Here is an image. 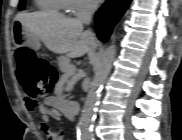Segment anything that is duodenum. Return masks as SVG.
<instances>
[{"instance_id":"1","label":"duodenum","mask_w":182,"mask_h":140,"mask_svg":"<svg viewBox=\"0 0 182 140\" xmlns=\"http://www.w3.org/2000/svg\"><path fill=\"white\" fill-rule=\"evenodd\" d=\"M79 105L76 102H64L61 105V110L68 114V116L73 119L78 111Z\"/></svg>"}]
</instances>
